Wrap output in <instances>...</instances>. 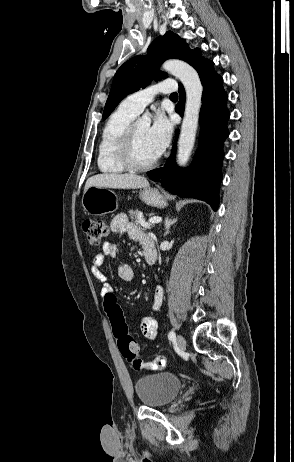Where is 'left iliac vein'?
I'll return each instance as SVG.
<instances>
[{
	"label": "left iliac vein",
	"instance_id": "4c4485c4",
	"mask_svg": "<svg viewBox=\"0 0 294 462\" xmlns=\"http://www.w3.org/2000/svg\"><path fill=\"white\" fill-rule=\"evenodd\" d=\"M177 345L181 350H185L186 348V341L185 338L182 335H178L176 338Z\"/></svg>",
	"mask_w": 294,
	"mask_h": 462
}]
</instances>
